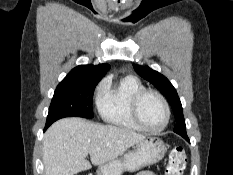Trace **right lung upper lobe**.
Segmentation results:
<instances>
[{"label": "right lung upper lobe", "instance_id": "right-lung-upper-lobe-1", "mask_svg": "<svg viewBox=\"0 0 233 175\" xmlns=\"http://www.w3.org/2000/svg\"><path fill=\"white\" fill-rule=\"evenodd\" d=\"M110 69L108 64L80 65L72 69L61 83L78 82L84 80H100Z\"/></svg>", "mask_w": 233, "mask_h": 175}]
</instances>
